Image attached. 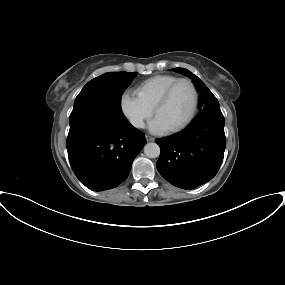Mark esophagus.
I'll return each instance as SVG.
<instances>
[{"instance_id":"esophagus-1","label":"esophagus","mask_w":285,"mask_h":285,"mask_svg":"<svg viewBox=\"0 0 285 285\" xmlns=\"http://www.w3.org/2000/svg\"><path fill=\"white\" fill-rule=\"evenodd\" d=\"M145 138H146L147 141H154L155 140V138H153V137H151L149 135H146Z\"/></svg>"}]
</instances>
